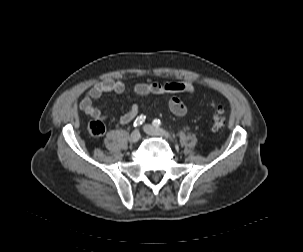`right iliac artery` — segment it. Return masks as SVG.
<instances>
[{"label": "right iliac artery", "mask_w": 303, "mask_h": 252, "mask_svg": "<svg viewBox=\"0 0 303 252\" xmlns=\"http://www.w3.org/2000/svg\"><path fill=\"white\" fill-rule=\"evenodd\" d=\"M145 121V116L141 115L134 121V127L140 126Z\"/></svg>", "instance_id": "1"}]
</instances>
